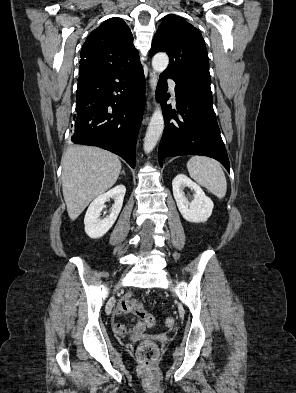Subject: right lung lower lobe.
<instances>
[{"label":"right lung lower lobe","instance_id":"98d812e1","mask_svg":"<svg viewBox=\"0 0 296 393\" xmlns=\"http://www.w3.org/2000/svg\"><path fill=\"white\" fill-rule=\"evenodd\" d=\"M144 106L141 64L121 70L81 66L71 141L109 150L135 168L136 139Z\"/></svg>","mask_w":296,"mask_h":393}]
</instances>
